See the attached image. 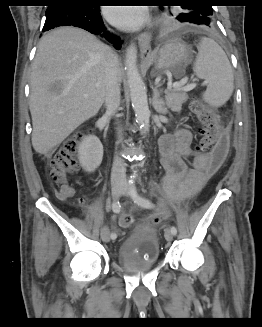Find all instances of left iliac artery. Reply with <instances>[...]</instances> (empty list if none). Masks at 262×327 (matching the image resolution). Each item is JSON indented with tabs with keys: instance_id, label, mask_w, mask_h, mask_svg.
<instances>
[{
	"instance_id": "1",
	"label": "left iliac artery",
	"mask_w": 262,
	"mask_h": 327,
	"mask_svg": "<svg viewBox=\"0 0 262 327\" xmlns=\"http://www.w3.org/2000/svg\"><path fill=\"white\" fill-rule=\"evenodd\" d=\"M130 185H131L130 193H131V196H132L134 202L141 205V206H143V207H145V208H152L153 204H152V202L150 200H148L146 198H143V197L138 195L133 180L130 181ZM171 232H172L173 235L177 234V229H176L175 226L171 227Z\"/></svg>"
}]
</instances>
